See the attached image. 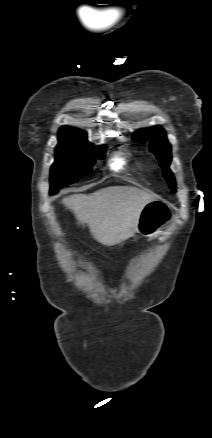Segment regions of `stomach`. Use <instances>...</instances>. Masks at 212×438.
<instances>
[{
	"label": "stomach",
	"instance_id": "0dacf381",
	"mask_svg": "<svg viewBox=\"0 0 212 438\" xmlns=\"http://www.w3.org/2000/svg\"><path fill=\"white\" fill-rule=\"evenodd\" d=\"M173 216L171 208L165 202L153 200L144 206L136 230L130 236L138 232L144 237L156 238L172 222Z\"/></svg>",
	"mask_w": 212,
	"mask_h": 438
}]
</instances>
